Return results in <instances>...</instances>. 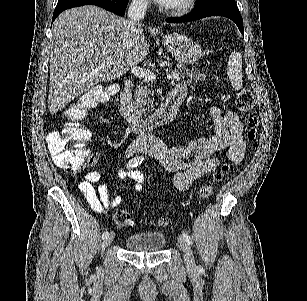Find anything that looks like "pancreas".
Returning a JSON list of instances; mask_svg holds the SVG:
<instances>
[{
    "instance_id": "cf45deb5",
    "label": "pancreas",
    "mask_w": 307,
    "mask_h": 301,
    "mask_svg": "<svg viewBox=\"0 0 307 301\" xmlns=\"http://www.w3.org/2000/svg\"><path fill=\"white\" fill-rule=\"evenodd\" d=\"M180 74V78L178 80H182V78H186L188 82H192V80H201V74L199 70L196 68H187V66H181L178 64L174 70H172V74ZM152 84H145V86H137L136 90H134V100L133 104L136 106V112H141V114H148L150 110H154L155 102L151 96L152 90L150 88Z\"/></svg>"
}]
</instances>
